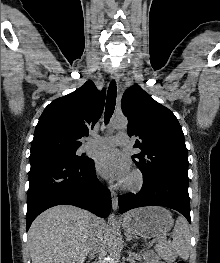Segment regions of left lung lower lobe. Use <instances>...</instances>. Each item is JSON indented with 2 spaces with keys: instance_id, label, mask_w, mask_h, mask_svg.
Returning <instances> with one entry per match:
<instances>
[{
  "instance_id": "0a47b994",
  "label": "left lung lower lobe",
  "mask_w": 220,
  "mask_h": 263,
  "mask_svg": "<svg viewBox=\"0 0 220 263\" xmlns=\"http://www.w3.org/2000/svg\"><path fill=\"white\" fill-rule=\"evenodd\" d=\"M118 201L121 213L143 206H164L180 212L191 223L188 183L172 176L146 179L137 194L120 195Z\"/></svg>"
}]
</instances>
